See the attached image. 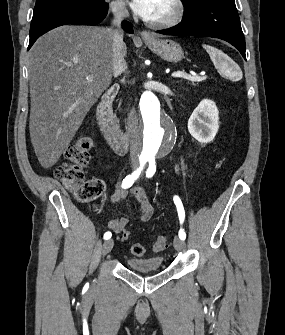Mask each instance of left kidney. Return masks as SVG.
<instances>
[{"label":"left kidney","instance_id":"5707ae66","mask_svg":"<svg viewBox=\"0 0 285 335\" xmlns=\"http://www.w3.org/2000/svg\"><path fill=\"white\" fill-rule=\"evenodd\" d=\"M188 130L200 144L212 142L219 130V112L215 102H200L188 120Z\"/></svg>","mask_w":285,"mask_h":335}]
</instances>
